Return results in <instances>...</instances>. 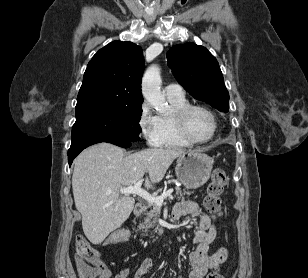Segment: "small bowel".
Wrapping results in <instances>:
<instances>
[{
	"mask_svg": "<svg viewBox=\"0 0 308 278\" xmlns=\"http://www.w3.org/2000/svg\"><path fill=\"white\" fill-rule=\"evenodd\" d=\"M175 217L184 215H198V227L194 231L193 242L196 248L189 254V265L191 267L189 278H205L210 269L219 266L227 258V249L219 247L218 250L209 255L208 249L217 237L215 219L207 215L196 202L185 201L178 203L173 210ZM153 266V260L146 258L139 269L135 272L134 278H144ZM129 269L122 268L114 278H127ZM112 273L108 267L102 264L99 278H110Z\"/></svg>",
	"mask_w": 308,
	"mask_h": 278,
	"instance_id": "c3829d8e",
	"label": "small bowel"
}]
</instances>
